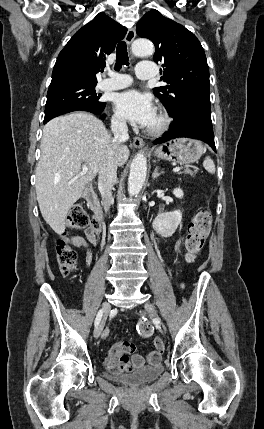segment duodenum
<instances>
[{
    "instance_id": "obj_1",
    "label": "duodenum",
    "mask_w": 264,
    "mask_h": 429,
    "mask_svg": "<svg viewBox=\"0 0 264 429\" xmlns=\"http://www.w3.org/2000/svg\"><path fill=\"white\" fill-rule=\"evenodd\" d=\"M84 198L87 201L88 207L93 212L95 220L99 223H102L104 218L103 209L100 200L91 185L86 187L84 191Z\"/></svg>"
}]
</instances>
